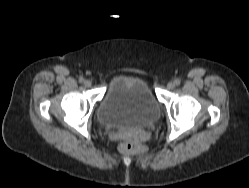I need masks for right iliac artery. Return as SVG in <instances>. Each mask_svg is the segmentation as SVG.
<instances>
[{"instance_id":"1","label":"right iliac artery","mask_w":249,"mask_h":188,"mask_svg":"<svg viewBox=\"0 0 249 188\" xmlns=\"http://www.w3.org/2000/svg\"><path fill=\"white\" fill-rule=\"evenodd\" d=\"M79 82H80V83H83V82H84V78H83V77H80V78H79Z\"/></svg>"}]
</instances>
